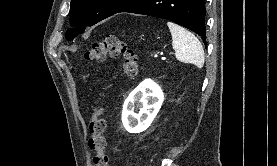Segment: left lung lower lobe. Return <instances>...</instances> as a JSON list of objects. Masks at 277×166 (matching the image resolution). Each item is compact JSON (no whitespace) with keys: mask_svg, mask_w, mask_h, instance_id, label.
I'll return each instance as SVG.
<instances>
[{"mask_svg":"<svg viewBox=\"0 0 277 166\" xmlns=\"http://www.w3.org/2000/svg\"><path fill=\"white\" fill-rule=\"evenodd\" d=\"M119 12L170 20L197 33L207 46L204 0H135Z\"/></svg>","mask_w":277,"mask_h":166,"instance_id":"obj_1","label":"left lung lower lobe"}]
</instances>
